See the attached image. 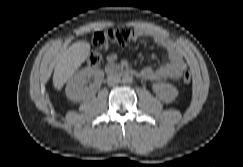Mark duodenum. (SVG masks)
Segmentation results:
<instances>
[{
    "label": "duodenum",
    "mask_w": 243,
    "mask_h": 167,
    "mask_svg": "<svg viewBox=\"0 0 243 167\" xmlns=\"http://www.w3.org/2000/svg\"><path fill=\"white\" fill-rule=\"evenodd\" d=\"M105 73L109 76H135V77H141L142 74L139 70L129 68V67H123L119 65L114 64H108L105 67Z\"/></svg>",
    "instance_id": "1"
}]
</instances>
